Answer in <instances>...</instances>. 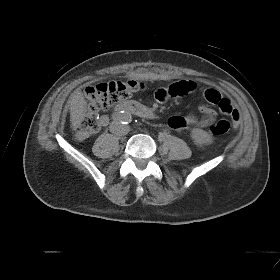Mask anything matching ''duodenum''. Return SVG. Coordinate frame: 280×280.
<instances>
[{
    "label": "duodenum",
    "instance_id": "duodenum-1",
    "mask_svg": "<svg viewBox=\"0 0 280 280\" xmlns=\"http://www.w3.org/2000/svg\"><path fill=\"white\" fill-rule=\"evenodd\" d=\"M120 112L132 113L149 119L155 117V112L152 109L135 101H125L119 104L115 109V114H119Z\"/></svg>",
    "mask_w": 280,
    "mask_h": 280
}]
</instances>
